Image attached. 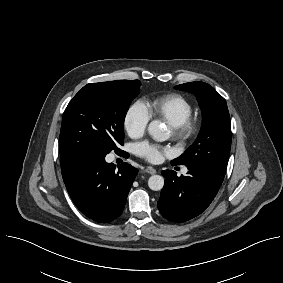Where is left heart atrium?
<instances>
[{"mask_svg": "<svg viewBox=\"0 0 283 283\" xmlns=\"http://www.w3.org/2000/svg\"><path fill=\"white\" fill-rule=\"evenodd\" d=\"M137 153L146 160L157 163L168 153V150L154 143L143 142L137 146Z\"/></svg>", "mask_w": 283, "mask_h": 283, "instance_id": "1", "label": "left heart atrium"}]
</instances>
